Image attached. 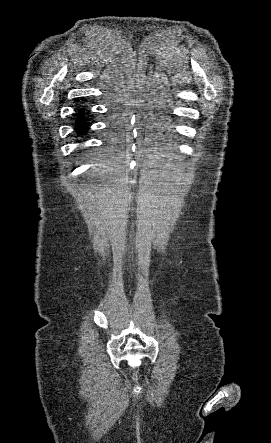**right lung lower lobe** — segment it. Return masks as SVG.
<instances>
[{"mask_svg": "<svg viewBox=\"0 0 271 443\" xmlns=\"http://www.w3.org/2000/svg\"><path fill=\"white\" fill-rule=\"evenodd\" d=\"M81 113H78L77 116L80 119L79 122L76 124V128L79 133L83 134L85 133V130L87 129V122L83 120V110H80Z\"/></svg>", "mask_w": 271, "mask_h": 443, "instance_id": "1", "label": "right lung lower lobe"}]
</instances>
